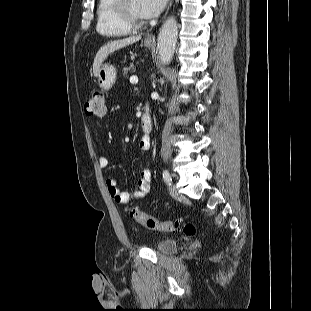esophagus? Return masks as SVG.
Listing matches in <instances>:
<instances>
[{
  "label": "esophagus",
  "instance_id": "1",
  "mask_svg": "<svg viewBox=\"0 0 311 311\" xmlns=\"http://www.w3.org/2000/svg\"><path fill=\"white\" fill-rule=\"evenodd\" d=\"M171 4H172V1H171V3H170V6L168 7V9H167V11H166L165 16L167 15V13H168V11H169V8L171 7ZM146 40H147V41H155V37H154L153 35H149V36L146 37Z\"/></svg>",
  "mask_w": 311,
  "mask_h": 311
}]
</instances>
